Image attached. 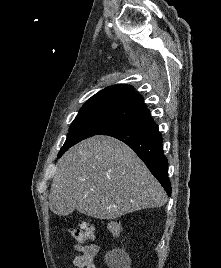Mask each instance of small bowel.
<instances>
[{
    "instance_id": "small-bowel-1",
    "label": "small bowel",
    "mask_w": 221,
    "mask_h": 268,
    "mask_svg": "<svg viewBox=\"0 0 221 268\" xmlns=\"http://www.w3.org/2000/svg\"><path fill=\"white\" fill-rule=\"evenodd\" d=\"M99 247L95 243L88 245L76 244L74 251L76 255L72 258V263L78 268H96L94 257L98 253Z\"/></svg>"
}]
</instances>
